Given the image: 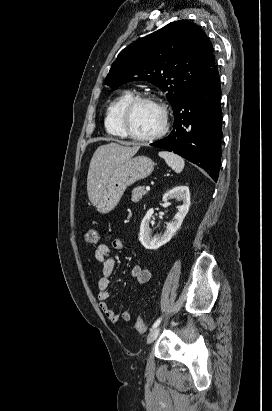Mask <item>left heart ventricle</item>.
<instances>
[{
    "label": "left heart ventricle",
    "instance_id": "b2bd125f",
    "mask_svg": "<svg viewBox=\"0 0 272 411\" xmlns=\"http://www.w3.org/2000/svg\"><path fill=\"white\" fill-rule=\"evenodd\" d=\"M129 128L137 135L147 136L157 132L162 125V113L152 103H139L131 111Z\"/></svg>",
    "mask_w": 272,
    "mask_h": 411
}]
</instances>
